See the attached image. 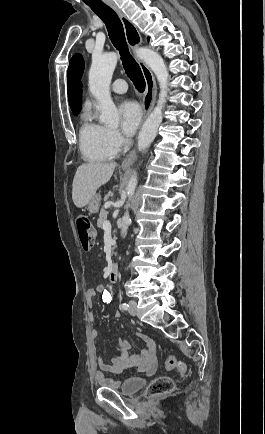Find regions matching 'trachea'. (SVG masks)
I'll use <instances>...</instances> for the list:
<instances>
[{
    "mask_svg": "<svg viewBox=\"0 0 265 434\" xmlns=\"http://www.w3.org/2000/svg\"><path fill=\"white\" fill-rule=\"evenodd\" d=\"M98 17L105 23L109 37L119 51L125 73L135 85L139 92L145 90V80L140 66L132 57L126 43L123 25L120 18L112 8L105 3H86Z\"/></svg>",
    "mask_w": 265,
    "mask_h": 434,
    "instance_id": "1",
    "label": "trachea"
}]
</instances>
